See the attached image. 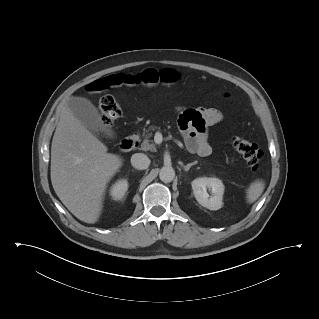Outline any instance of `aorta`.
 Here are the masks:
<instances>
[{
  "label": "aorta",
  "mask_w": 319,
  "mask_h": 319,
  "mask_svg": "<svg viewBox=\"0 0 319 319\" xmlns=\"http://www.w3.org/2000/svg\"><path fill=\"white\" fill-rule=\"evenodd\" d=\"M175 171L171 166H164L160 169L159 178L162 182L169 183L173 181Z\"/></svg>",
  "instance_id": "aorta-1"
}]
</instances>
